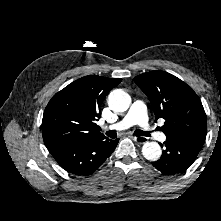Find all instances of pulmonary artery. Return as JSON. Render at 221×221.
Returning a JSON list of instances; mask_svg holds the SVG:
<instances>
[{
  "label": "pulmonary artery",
  "mask_w": 221,
  "mask_h": 221,
  "mask_svg": "<svg viewBox=\"0 0 221 221\" xmlns=\"http://www.w3.org/2000/svg\"><path fill=\"white\" fill-rule=\"evenodd\" d=\"M136 124L141 126L144 131L148 132L154 138H157L162 141L166 139V136L156 131L154 129V126L149 122L146 113V106L140 100L134 101L130 110L124 116V118L119 122H117L116 124H114L112 128L117 130H123Z\"/></svg>",
  "instance_id": "obj_1"
}]
</instances>
